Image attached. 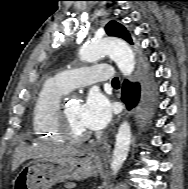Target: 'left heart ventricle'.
I'll return each instance as SVG.
<instances>
[{
  "label": "left heart ventricle",
  "instance_id": "b2bd125f",
  "mask_svg": "<svg viewBox=\"0 0 188 189\" xmlns=\"http://www.w3.org/2000/svg\"><path fill=\"white\" fill-rule=\"evenodd\" d=\"M69 126L73 133L87 132V128L80 120L81 105L79 103H69L66 105Z\"/></svg>",
  "mask_w": 188,
  "mask_h": 189
}]
</instances>
